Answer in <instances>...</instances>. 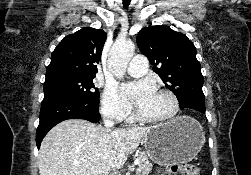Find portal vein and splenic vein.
<instances>
[{
	"label": "portal vein and splenic vein",
	"instance_id": "18ae733b",
	"mask_svg": "<svg viewBox=\"0 0 251 175\" xmlns=\"http://www.w3.org/2000/svg\"><path fill=\"white\" fill-rule=\"evenodd\" d=\"M134 163L137 165V163H139V159H135ZM86 175H90V173H86Z\"/></svg>",
	"mask_w": 251,
	"mask_h": 175
}]
</instances>
